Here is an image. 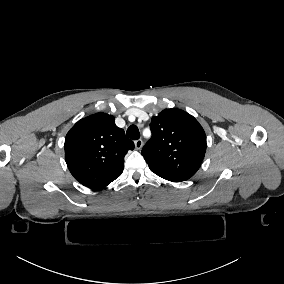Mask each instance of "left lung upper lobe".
Here are the masks:
<instances>
[{
  "label": "left lung upper lobe",
  "mask_w": 284,
  "mask_h": 284,
  "mask_svg": "<svg viewBox=\"0 0 284 284\" xmlns=\"http://www.w3.org/2000/svg\"><path fill=\"white\" fill-rule=\"evenodd\" d=\"M152 138L142 149L149 168L162 178L187 180L199 169L206 151V135L189 113L165 109L152 117Z\"/></svg>",
  "instance_id": "1"
}]
</instances>
